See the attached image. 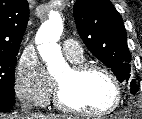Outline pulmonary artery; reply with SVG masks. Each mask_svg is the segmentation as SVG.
Returning a JSON list of instances; mask_svg holds the SVG:
<instances>
[{
  "label": "pulmonary artery",
  "mask_w": 142,
  "mask_h": 119,
  "mask_svg": "<svg viewBox=\"0 0 142 119\" xmlns=\"http://www.w3.org/2000/svg\"><path fill=\"white\" fill-rule=\"evenodd\" d=\"M64 54L68 59H77L82 56V48L79 43L72 39L64 40L62 43Z\"/></svg>",
  "instance_id": "1"
}]
</instances>
